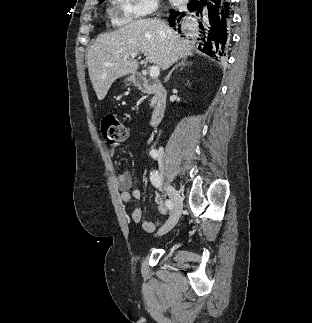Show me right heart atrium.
I'll return each mask as SVG.
<instances>
[{
    "mask_svg": "<svg viewBox=\"0 0 312 323\" xmlns=\"http://www.w3.org/2000/svg\"><path fill=\"white\" fill-rule=\"evenodd\" d=\"M120 7L124 17H150L152 13H159L163 9V2L160 0H126L121 2Z\"/></svg>",
    "mask_w": 312,
    "mask_h": 323,
    "instance_id": "obj_1",
    "label": "right heart atrium"
}]
</instances>
